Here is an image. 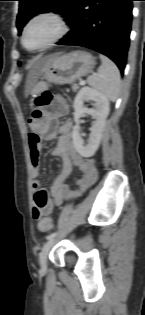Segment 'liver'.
<instances>
[{"mask_svg":"<svg viewBox=\"0 0 145 315\" xmlns=\"http://www.w3.org/2000/svg\"><path fill=\"white\" fill-rule=\"evenodd\" d=\"M47 59H40L32 70L29 72L26 81V92L28 93L31 88L33 87L34 83L38 80L39 76L41 75L43 69L48 65Z\"/></svg>","mask_w":145,"mask_h":315,"instance_id":"1","label":"liver"}]
</instances>
